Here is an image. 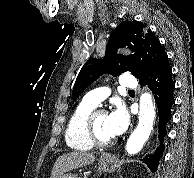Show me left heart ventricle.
<instances>
[{
  "label": "left heart ventricle",
  "instance_id": "left-heart-ventricle-1",
  "mask_svg": "<svg viewBox=\"0 0 194 178\" xmlns=\"http://www.w3.org/2000/svg\"><path fill=\"white\" fill-rule=\"evenodd\" d=\"M95 128L98 136L103 140H108L113 138L110 134L107 125V114L98 115L95 121Z\"/></svg>",
  "mask_w": 194,
  "mask_h": 178
}]
</instances>
